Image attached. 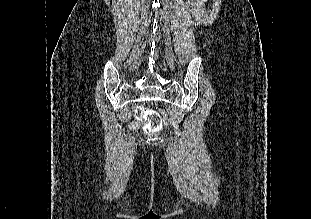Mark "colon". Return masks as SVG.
I'll return each instance as SVG.
<instances>
[{
    "label": "colon",
    "instance_id": "colon-1",
    "mask_svg": "<svg viewBox=\"0 0 311 219\" xmlns=\"http://www.w3.org/2000/svg\"><path fill=\"white\" fill-rule=\"evenodd\" d=\"M136 116L140 121L145 123V130L148 133H155L162 127V117L153 109L139 107L136 110Z\"/></svg>",
    "mask_w": 311,
    "mask_h": 219
}]
</instances>
